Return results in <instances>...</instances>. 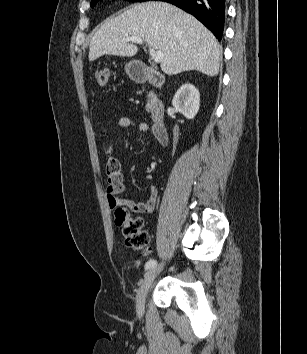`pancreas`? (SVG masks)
I'll use <instances>...</instances> for the list:
<instances>
[{
    "label": "pancreas",
    "instance_id": "1",
    "mask_svg": "<svg viewBox=\"0 0 307 354\" xmlns=\"http://www.w3.org/2000/svg\"><path fill=\"white\" fill-rule=\"evenodd\" d=\"M152 94V92H151ZM152 105L150 104L149 100H148V103L146 105V110L149 111L151 109Z\"/></svg>",
    "mask_w": 307,
    "mask_h": 354
}]
</instances>
